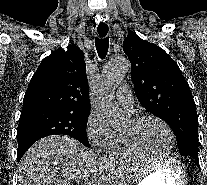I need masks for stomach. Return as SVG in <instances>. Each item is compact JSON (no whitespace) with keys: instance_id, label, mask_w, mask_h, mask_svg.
<instances>
[{"instance_id":"1","label":"stomach","mask_w":207,"mask_h":185,"mask_svg":"<svg viewBox=\"0 0 207 185\" xmlns=\"http://www.w3.org/2000/svg\"><path fill=\"white\" fill-rule=\"evenodd\" d=\"M187 182L185 167L177 161H170L150 173L138 185H185Z\"/></svg>"}]
</instances>
